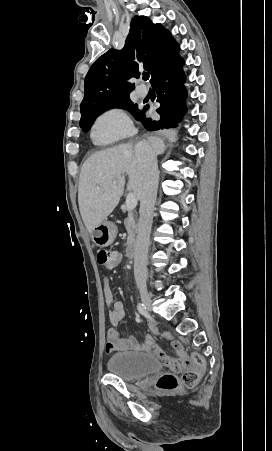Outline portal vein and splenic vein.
I'll use <instances>...</instances> for the list:
<instances>
[{
	"instance_id": "portal-vein-and-splenic-vein-1",
	"label": "portal vein and splenic vein",
	"mask_w": 272,
	"mask_h": 451,
	"mask_svg": "<svg viewBox=\"0 0 272 451\" xmlns=\"http://www.w3.org/2000/svg\"><path fill=\"white\" fill-rule=\"evenodd\" d=\"M113 184H116V182H113ZM98 192H100V194H102V190H98ZM126 206H127V210H134V208H136L137 200H136L134 194H128V196L126 198Z\"/></svg>"
}]
</instances>
